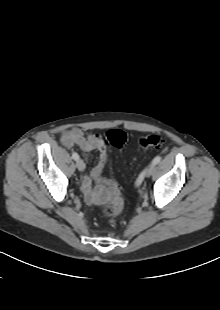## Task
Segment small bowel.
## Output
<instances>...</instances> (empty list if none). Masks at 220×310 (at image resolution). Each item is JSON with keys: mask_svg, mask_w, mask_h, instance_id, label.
<instances>
[{"mask_svg": "<svg viewBox=\"0 0 220 310\" xmlns=\"http://www.w3.org/2000/svg\"><path fill=\"white\" fill-rule=\"evenodd\" d=\"M61 143L67 148L78 147L85 160L88 159V155L92 151L99 152L98 163L83 176L81 187L83 196L89 204L102 205L111 195V184L107 180L101 179V173L108 157L102 138L98 134L85 133L80 128L74 127L62 133ZM94 183L97 185L94 186Z\"/></svg>", "mask_w": 220, "mask_h": 310, "instance_id": "1", "label": "small bowel"}]
</instances>
